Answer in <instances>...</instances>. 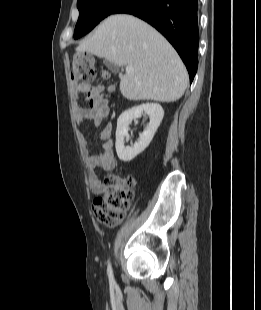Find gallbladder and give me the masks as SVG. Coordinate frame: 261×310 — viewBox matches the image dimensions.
Masks as SVG:
<instances>
[{
    "instance_id": "bac80fb5",
    "label": "gallbladder",
    "mask_w": 261,
    "mask_h": 310,
    "mask_svg": "<svg viewBox=\"0 0 261 310\" xmlns=\"http://www.w3.org/2000/svg\"><path fill=\"white\" fill-rule=\"evenodd\" d=\"M104 64H105L109 69H111L112 71H114V72H117V71H118V67H117L114 63H112V62H110V61H108V60H106V59H104Z\"/></svg>"
}]
</instances>
